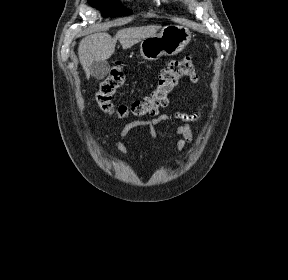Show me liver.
Masks as SVG:
<instances>
[{
    "label": "liver",
    "mask_w": 288,
    "mask_h": 280,
    "mask_svg": "<svg viewBox=\"0 0 288 280\" xmlns=\"http://www.w3.org/2000/svg\"><path fill=\"white\" fill-rule=\"evenodd\" d=\"M160 26H142L124 28L111 37L106 32H99L83 38L78 47L80 63L89 77V68L94 61H106L115 52L117 40L123 49H128L141 39L156 35Z\"/></svg>",
    "instance_id": "1"
}]
</instances>
